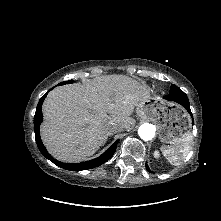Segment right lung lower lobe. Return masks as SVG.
<instances>
[{
	"label": "right lung lower lobe",
	"instance_id": "right-lung-lower-lobe-1",
	"mask_svg": "<svg viewBox=\"0 0 221 221\" xmlns=\"http://www.w3.org/2000/svg\"><path fill=\"white\" fill-rule=\"evenodd\" d=\"M46 96H47V93L44 96H42L41 99L39 100L37 108H36V113L34 116V132H35L36 143H37V146H38L41 154L45 158L49 159L54 164H56L57 166H59L63 169H67V170H71V171H79V170H87V169H92V168L98 167V166L102 165L103 163H105L106 161H108L113 156L119 140L114 142L101 156H99L98 158L89 160V161L71 164V163H63V162H60V161L54 159L47 152L45 146L43 145V143L41 141V137H40V132H39V127H40V124L43 120L42 103H43L44 99L46 98Z\"/></svg>",
	"mask_w": 221,
	"mask_h": 221
}]
</instances>
